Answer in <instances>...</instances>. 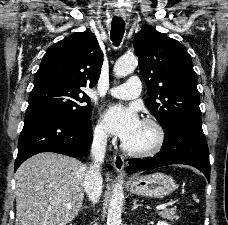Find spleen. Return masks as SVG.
Segmentation results:
<instances>
[{
  "label": "spleen",
  "instance_id": "3e777b00",
  "mask_svg": "<svg viewBox=\"0 0 228 225\" xmlns=\"http://www.w3.org/2000/svg\"><path fill=\"white\" fill-rule=\"evenodd\" d=\"M194 201H197L196 197H194Z\"/></svg>",
  "mask_w": 228,
  "mask_h": 225
}]
</instances>
